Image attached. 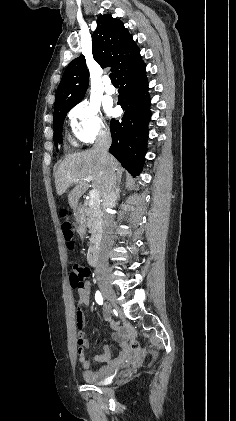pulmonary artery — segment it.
<instances>
[{
    "label": "pulmonary artery",
    "instance_id": "1",
    "mask_svg": "<svg viewBox=\"0 0 236 421\" xmlns=\"http://www.w3.org/2000/svg\"><path fill=\"white\" fill-rule=\"evenodd\" d=\"M104 91L109 95H113L116 93L115 87L111 84H105Z\"/></svg>",
    "mask_w": 236,
    "mask_h": 421
}]
</instances>
